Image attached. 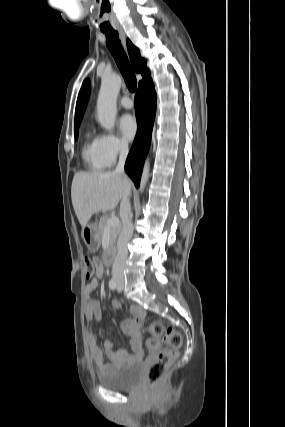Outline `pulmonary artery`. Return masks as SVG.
<instances>
[{
  "instance_id": "e3ab8cb5",
  "label": "pulmonary artery",
  "mask_w": 285,
  "mask_h": 427,
  "mask_svg": "<svg viewBox=\"0 0 285 427\" xmlns=\"http://www.w3.org/2000/svg\"><path fill=\"white\" fill-rule=\"evenodd\" d=\"M120 105L124 108L130 109L133 107V101L131 100V98H129L128 96H124L121 100H120Z\"/></svg>"
}]
</instances>
